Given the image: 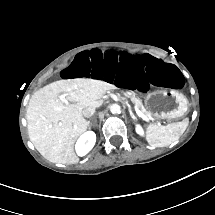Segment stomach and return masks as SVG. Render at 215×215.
I'll return each instance as SVG.
<instances>
[{
    "label": "stomach",
    "mask_w": 215,
    "mask_h": 215,
    "mask_svg": "<svg viewBox=\"0 0 215 215\" xmlns=\"http://www.w3.org/2000/svg\"><path fill=\"white\" fill-rule=\"evenodd\" d=\"M145 108L155 118L178 119L188 110L187 98L177 90L158 89L145 97Z\"/></svg>",
    "instance_id": "obj_1"
}]
</instances>
